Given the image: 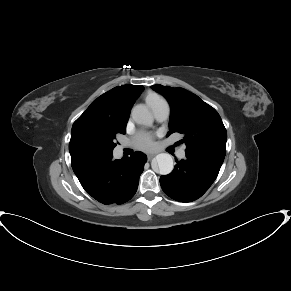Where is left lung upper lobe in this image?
Returning a JSON list of instances; mask_svg holds the SVG:
<instances>
[{"label": "left lung upper lobe", "mask_w": 291, "mask_h": 291, "mask_svg": "<svg viewBox=\"0 0 291 291\" xmlns=\"http://www.w3.org/2000/svg\"><path fill=\"white\" fill-rule=\"evenodd\" d=\"M170 103L168 136L174 132L184 135L180 143L186 144V152L224 158L227 133L218 112L197 95L183 89L151 86Z\"/></svg>", "instance_id": "left-lung-upper-lobe-1"}]
</instances>
